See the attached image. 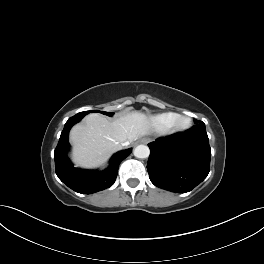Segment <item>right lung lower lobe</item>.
Masks as SVG:
<instances>
[{"label": "right lung lower lobe", "instance_id": "right-lung-lower-lobe-1", "mask_svg": "<svg viewBox=\"0 0 264 264\" xmlns=\"http://www.w3.org/2000/svg\"><path fill=\"white\" fill-rule=\"evenodd\" d=\"M75 115L68 119L61 133L54 152L56 174L69 188L84 194L95 193L111 187L117 177L119 164L131 153L132 149L119 151L113 155L110 165L102 172L97 170H81L75 168L67 158L69 146L68 135L70 128L82 119Z\"/></svg>", "mask_w": 264, "mask_h": 264}]
</instances>
